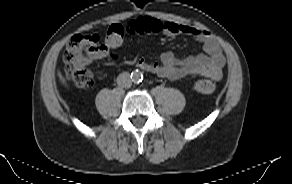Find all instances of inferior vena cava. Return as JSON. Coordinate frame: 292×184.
<instances>
[{"mask_svg":"<svg viewBox=\"0 0 292 184\" xmlns=\"http://www.w3.org/2000/svg\"><path fill=\"white\" fill-rule=\"evenodd\" d=\"M117 84L122 88H130L132 85V80L130 78V74L127 72L121 73L117 77Z\"/></svg>","mask_w":292,"mask_h":184,"instance_id":"602c4592","label":"inferior vena cava"}]
</instances>
